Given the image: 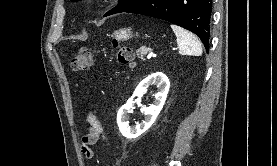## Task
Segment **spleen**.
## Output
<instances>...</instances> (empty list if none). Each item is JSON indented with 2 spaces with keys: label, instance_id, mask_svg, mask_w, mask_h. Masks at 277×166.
I'll return each instance as SVG.
<instances>
[{
  "label": "spleen",
  "instance_id": "obj_1",
  "mask_svg": "<svg viewBox=\"0 0 277 166\" xmlns=\"http://www.w3.org/2000/svg\"><path fill=\"white\" fill-rule=\"evenodd\" d=\"M171 28L176 35L179 53L181 55H202L201 43L195 35L177 25L172 24Z\"/></svg>",
  "mask_w": 277,
  "mask_h": 166
}]
</instances>
